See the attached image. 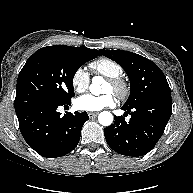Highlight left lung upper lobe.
Returning a JSON list of instances; mask_svg holds the SVG:
<instances>
[{"label": "left lung upper lobe", "instance_id": "left-lung-upper-lobe-1", "mask_svg": "<svg viewBox=\"0 0 193 193\" xmlns=\"http://www.w3.org/2000/svg\"><path fill=\"white\" fill-rule=\"evenodd\" d=\"M100 53L117 62L130 79V96L123 105L133 108L145 100L170 90L161 69L151 60L123 50H100Z\"/></svg>", "mask_w": 193, "mask_h": 193}]
</instances>
